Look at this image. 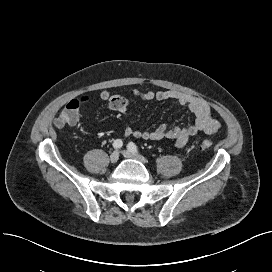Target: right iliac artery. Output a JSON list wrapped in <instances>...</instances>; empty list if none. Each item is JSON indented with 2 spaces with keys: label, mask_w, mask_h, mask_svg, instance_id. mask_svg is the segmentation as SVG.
Returning a JSON list of instances; mask_svg holds the SVG:
<instances>
[{
  "label": "right iliac artery",
  "mask_w": 272,
  "mask_h": 272,
  "mask_svg": "<svg viewBox=\"0 0 272 272\" xmlns=\"http://www.w3.org/2000/svg\"><path fill=\"white\" fill-rule=\"evenodd\" d=\"M122 146H123V142L120 139L115 140L113 143V147L115 149H120Z\"/></svg>",
  "instance_id": "right-iliac-artery-1"
}]
</instances>
